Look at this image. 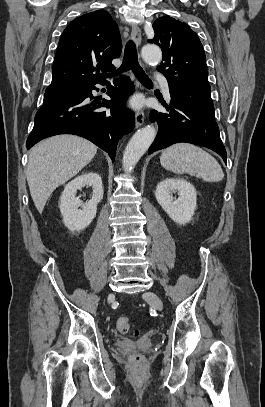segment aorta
<instances>
[{"instance_id": "1", "label": "aorta", "mask_w": 265, "mask_h": 407, "mask_svg": "<svg viewBox=\"0 0 265 407\" xmlns=\"http://www.w3.org/2000/svg\"><path fill=\"white\" fill-rule=\"evenodd\" d=\"M142 57L147 63H159L162 53L159 47L145 45L142 48ZM156 136V129L148 125L137 131L127 144L123 154V169L125 172H131L142 155L148 150Z\"/></svg>"}]
</instances>
